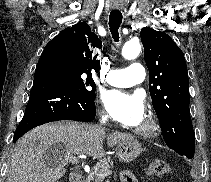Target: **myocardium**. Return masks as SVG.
Listing matches in <instances>:
<instances>
[{
    "instance_id": "obj_1",
    "label": "myocardium",
    "mask_w": 211,
    "mask_h": 182,
    "mask_svg": "<svg viewBox=\"0 0 211 182\" xmlns=\"http://www.w3.org/2000/svg\"><path fill=\"white\" fill-rule=\"evenodd\" d=\"M158 128V119L155 114L149 112L146 116V122L139 126L135 133L143 137L151 136Z\"/></svg>"
}]
</instances>
